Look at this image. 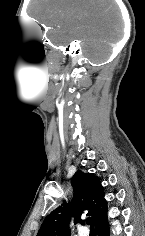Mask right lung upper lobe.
Masks as SVG:
<instances>
[{
    "instance_id": "cb5924a9",
    "label": "right lung upper lobe",
    "mask_w": 145,
    "mask_h": 236,
    "mask_svg": "<svg viewBox=\"0 0 145 236\" xmlns=\"http://www.w3.org/2000/svg\"><path fill=\"white\" fill-rule=\"evenodd\" d=\"M71 183L74 190L71 203L64 201L63 205L53 210L45 218L37 236H70L71 214L75 217V223L83 224L81 213L84 210L89 211L94 224L107 215V202L98 177L77 171Z\"/></svg>"
}]
</instances>
